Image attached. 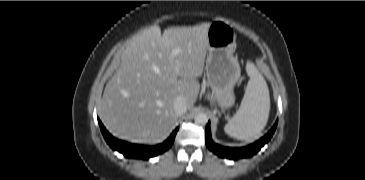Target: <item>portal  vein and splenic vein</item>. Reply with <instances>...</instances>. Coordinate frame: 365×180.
Segmentation results:
<instances>
[{"instance_id":"1","label":"portal vein and splenic vein","mask_w":365,"mask_h":180,"mask_svg":"<svg viewBox=\"0 0 365 180\" xmlns=\"http://www.w3.org/2000/svg\"><path fill=\"white\" fill-rule=\"evenodd\" d=\"M179 52H180V49H174V50L171 52V56H172V57H174V56H176Z\"/></svg>"}]
</instances>
